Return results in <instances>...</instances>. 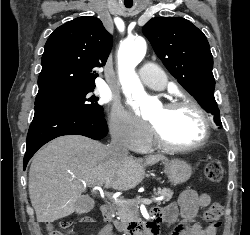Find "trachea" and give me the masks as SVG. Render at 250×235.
Returning <instances> with one entry per match:
<instances>
[{"label":"trachea","instance_id":"trachea-1","mask_svg":"<svg viewBox=\"0 0 250 235\" xmlns=\"http://www.w3.org/2000/svg\"><path fill=\"white\" fill-rule=\"evenodd\" d=\"M126 7H127V8H130V7H131V5H126Z\"/></svg>","mask_w":250,"mask_h":235}]
</instances>
